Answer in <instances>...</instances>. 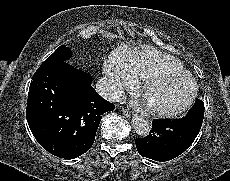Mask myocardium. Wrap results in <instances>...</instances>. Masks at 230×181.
I'll return each instance as SVG.
<instances>
[{"label": "myocardium", "mask_w": 230, "mask_h": 181, "mask_svg": "<svg viewBox=\"0 0 230 181\" xmlns=\"http://www.w3.org/2000/svg\"><path fill=\"white\" fill-rule=\"evenodd\" d=\"M168 77L185 79L189 81L192 86L190 94L181 105L174 108H163V107H155V106L150 107L152 113L158 116L173 117L186 111L192 105L193 101L197 96V91H198L197 83L195 79L187 71L163 70V71L154 72L153 74H151L150 76H148L143 80V82L139 86V92L142 96L146 97L148 89L150 88L151 85Z\"/></svg>", "instance_id": "1"}]
</instances>
